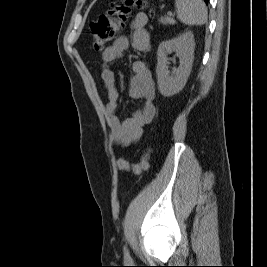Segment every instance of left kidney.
<instances>
[{
    "label": "left kidney",
    "instance_id": "1",
    "mask_svg": "<svg viewBox=\"0 0 267 267\" xmlns=\"http://www.w3.org/2000/svg\"><path fill=\"white\" fill-rule=\"evenodd\" d=\"M194 48V35L191 31L159 44L156 74L158 89L163 96L170 97L184 88L192 69ZM172 52L179 58L180 66L170 72L167 54Z\"/></svg>",
    "mask_w": 267,
    "mask_h": 267
}]
</instances>
